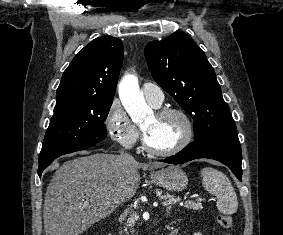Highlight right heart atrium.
<instances>
[{
	"mask_svg": "<svg viewBox=\"0 0 283 235\" xmlns=\"http://www.w3.org/2000/svg\"><path fill=\"white\" fill-rule=\"evenodd\" d=\"M105 126L110 137L124 147L134 146L140 138V130L118 99H113L107 110Z\"/></svg>",
	"mask_w": 283,
	"mask_h": 235,
	"instance_id": "1",
	"label": "right heart atrium"
}]
</instances>
